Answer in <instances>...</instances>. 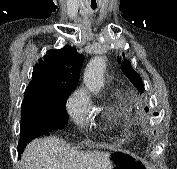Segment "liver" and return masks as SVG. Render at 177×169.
Listing matches in <instances>:
<instances>
[{"label": "liver", "mask_w": 177, "mask_h": 169, "mask_svg": "<svg viewBox=\"0 0 177 169\" xmlns=\"http://www.w3.org/2000/svg\"><path fill=\"white\" fill-rule=\"evenodd\" d=\"M23 169H114L110 153L70 149L55 136L33 140L21 155Z\"/></svg>", "instance_id": "liver-1"}]
</instances>
